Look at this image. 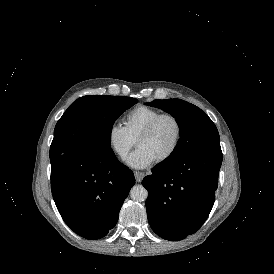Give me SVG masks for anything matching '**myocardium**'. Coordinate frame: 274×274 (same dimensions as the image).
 <instances>
[{
    "instance_id": "f54148a6",
    "label": "myocardium",
    "mask_w": 274,
    "mask_h": 274,
    "mask_svg": "<svg viewBox=\"0 0 274 274\" xmlns=\"http://www.w3.org/2000/svg\"><path fill=\"white\" fill-rule=\"evenodd\" d=\"M166 118L171 119L175 123L176 135H175L173 145H172L171 149L169 150V152L161 159L155 161L154 162L155 165H162V164L168 162L177 152V149L179 147L181 137H182V123H181L180 119L173 113L159 114L135 138V144L137 145V143L140 139L150 135L154 131V129L157 127L159 122Z\"/></svg>"
}]
</instances>
